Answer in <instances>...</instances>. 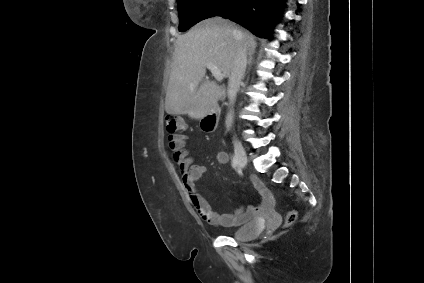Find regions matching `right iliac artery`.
<instances>
[{
    "label": "right iliac artery",
    "mask_w": 424,
    "mask_h": 283,
    "mask_svg": "<svg viewBox=\"0 0 424 283\" xmlns=\"http://www.w3.org/2000/svg\"><path fill=\"white\" fill-rule=\"evenodd\" d=\"M232 166H233V168H235V169H236V167L238 166V162H237V159H236V157H235V156H233V158H232Z\"/></svg>",
    "instance_id": "82829eb1"
}]
</instances>
